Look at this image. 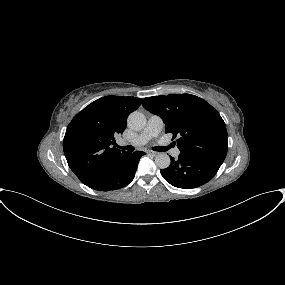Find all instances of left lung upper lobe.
Instances as JSON below:
<instances>
[{"label":"left lung upper lobe","instance_id":"left-lung-upper-lobe-1","mask_svg":"<svg viewBox=\"0 0 285 285\" xmlns=\"http://www.w3.org/2000/svg\"><path fill=\"white\" fill-rule=\"evenodd\" d=\"M142 105L160 116L166 133L178 136L180 154L223 162L228 149L226 126L220 114L202 98L191 94L146 97Z\"/></svg>","mask_w":285,"mask_h":285}]
</instances>
